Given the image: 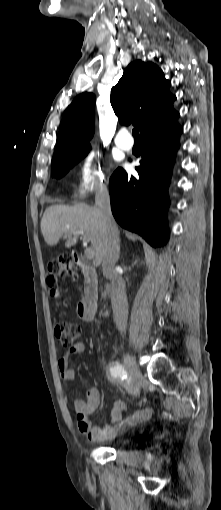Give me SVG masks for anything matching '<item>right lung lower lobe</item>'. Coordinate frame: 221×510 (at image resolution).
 I'll list each match as a JSON object with an SVG mask.
<instances>
[{"instance_id":"98d812e1","label":"right lung lower lobe","mask_w":221,"mask_h":510,"mask_svg":"<svg viewBox=\"0 0 221 510\" xmlns=\"http://www.w3.org/2000/svg\"><path fill=\"white\" fill-rule=\"evenodd\" d=\"M177 118L141 134V165L135 168L139 177L117 168L109 182L116 221L154 247L163 246L169 238L167 188L183 131Z\"/></svg>"}]
</instances>
